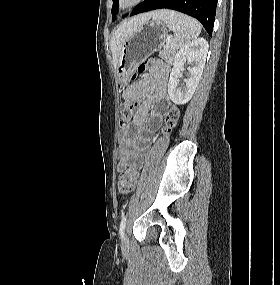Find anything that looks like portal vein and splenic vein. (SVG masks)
<instances>
[{"instance_id":"18ae733b","label":"portal vein and splenic vein","mask_w":280,"mask_h":285,"mask_svg":"<svg viewBox=\"0 0 280 285\" xmlns=\"http://www.w3.org/2000/svg\"><path fill=\"white\" fill-rule=\"evenodd\" d=\"M171 42V38L170 37H168L167 39H166V47H169V43Z\"/></svg>"}]
</instances>
